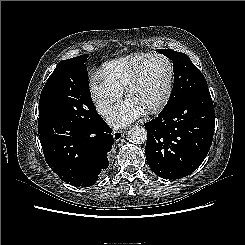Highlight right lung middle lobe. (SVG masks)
<instances>
[{"label": "right lung middle lobe", "instance_id": "obj_1", "mask_svg": "<svg viewBox=\"0 0 245 245\" xmlns=\"http://www.w3.org/2000/svg\"><path fill=\"white\" fill-rule=\"evenodd\" d=\"M87 55L58 63L44 85L39 101V119H60L88 124L96 113L89 90Z\"/></svg>", "mask_w": 245, "mask_h": 245}]
</instances>
